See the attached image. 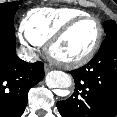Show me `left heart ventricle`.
I'll return each instance as SVG.
<instances>
[{
    "label": "left heart ventricle",
    "mask_w": 117,
    "mask_h": 117,
    "mask_svg": "<svg viewBox=\"0 0 117 117\" xmlns=\"http://www.w3.org/2000/svg\"><path fill=\"white\" fill-rule=\"evenodd\" d=\"M98 33L94 20H84L75 26L69 34L54 48L60 58L76 59L84 56L92 48Z\"/></svg>",
    "instance_id": "b2bd125f"
}]
</instances>
